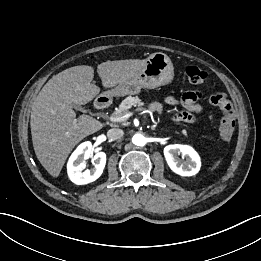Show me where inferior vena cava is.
<instances>
[{
  "label": "inferior vena cava",
  "instance_id": "602c4592",
  "mask_svg": "<svg viewBox=\"0 0 261 261\" xmlns=\"http://www.w3.org/2000/svg\"><path fill=\"white\" fill-rule=\"evenodd\" d=\"M123 135H124L123 130L119 128H112L107 132L108 138L112 141L121 138Z\"/></svg>",
  "mask_w": 261,
  "mask_h": 261
}]
</instances>
